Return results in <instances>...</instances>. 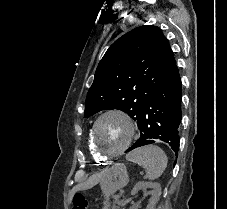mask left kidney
Instances as JSON below:
<instances>
[{
	"label": "left kidney",
	"instance_id": "1",
	"mask_svg": "<svg viewBox=\"0 0 227 209\" xmlns=\"http://www.w3.org/2000/svg\"><path fill=\"white\" fill-rule=\"evenodd\" d=\"M142 189H152V197L149 199V205H147L146 209H155L161 195V187L159 183L139 181V183H136L135 187H133L131 195H137L138 191H142Z\"/></svg>",
	"mask_w": 227,
	"mask_h": 209
}]
</instances>
